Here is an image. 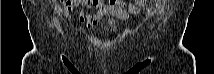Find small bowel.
<instances>
[{
	"label": "small bowel",
	"instance_id": "small-bowel-1",
	"mask_svg": "<svg viewBox=\"0 0 214 74\" xmlns=\"http://www.w3.org/2000/svg\"><path fill=\"white\" fill-rule=\"evenodd\" d=\"M70 9L81 7L78 20L85 24L88 29L96 26L104 15H113L124 19L129 16V13L136 14L139 12V6L128 4V11L126 5L120 2H104L100 0L87 1H71L68 3Z\"/></svg>",
	"mask_w": 214,
	"mask_h": 74
}]
</instances>
